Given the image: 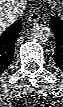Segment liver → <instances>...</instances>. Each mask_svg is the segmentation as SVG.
I'll list each match as a JSON object with an SVG mask.
<instances>
[{"label":"liver","instance_id":"obj_1","mask_svg":"<svg viewBox=\"0 0 63 107\" xmlns=\"http://www.w3.org/2000/svg\"><path fill=\"white\" fill-rule=\"evenodd\" d=\"M25 0H0V30L3 31L9 27L13 22H11L7 17L2 16V12H6L9 9L14 8L18 5V2Z\"/></svg>","mask_w":63,"mask_h":107}]
</instances>
